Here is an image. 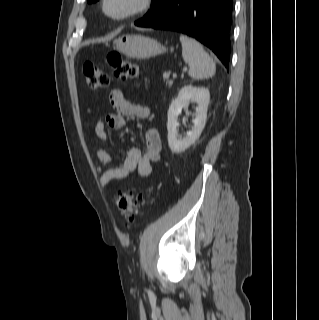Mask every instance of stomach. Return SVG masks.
I'll return each mask as SVG.
<instances>
[{
    "label": "stomach",
    "mask_w": 319,
    "mask_h": 320,
    "mask_svg": "<svg viewBox=\"0 0 319 320\" xmlns=\"http://www.w3.org/2000/svg\"><path fill=\"white\" fill-rule=\"evenodd\" d=\"M115 48L133 59H148L167 51L157 40L138 34H126L114 40Z\"/></svg>",
    "instance_id": "1"
}]
</instances>
